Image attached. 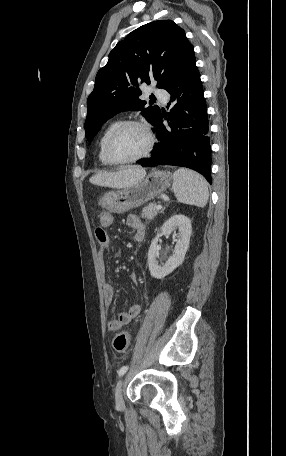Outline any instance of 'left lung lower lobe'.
Instances as JSON below:
<instances>
[{"label": "left lung lower lobe", "instance_id": "left-lung-lower-lobe-1", "mask_svg": "<svg viewBox=\"0 0 286 456\" xmlns=\"http://www.w3.org/2000/svg\"><path fill=\"white\" fill-rule=\"evenodd\" d=\"M195 62L192 60L165 88L174 105L167 115L160 112L154 124L160 143L154 147L153 156L140 164L184 166L201 173L211 184L207 108ZM162 118L169 126L163 125Z\"/></svg>", "mask_w": 286, "mask_h": 456}]
</instances>
